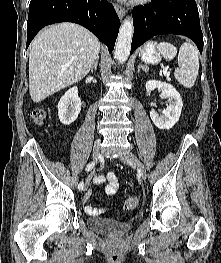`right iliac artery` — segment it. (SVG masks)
I'll list each match as a JSON object with an SVG mask.
<instances>
[{
  "label": "right iliac artery",
  "instance_id": "obj_1",
  "mask_svg": "<svg viewBox=\"0 0 221 263\" xmlns=\"http://www.w3.org/2000/svg\"><path fill=\"white\" fill-rule=\"evenodd\" d=\"M94 165H95V163H89L87 166H86V171L88 172V171H90L91 169H93V167H94ZM83 187H84V184H83V182H80L79 184H78V189L79 190H83Z\"/></svg>",
  "mask_w": 221,
  "mask_h": 263
}]
</instances>
